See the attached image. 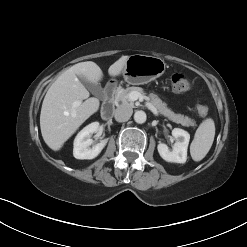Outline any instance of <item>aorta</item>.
I'll return each instance as SVG.
<instances>
[{
  "instance_id": "762f6f07",
  "label": "aorta",
  "mask_w": 247,
  "mask_h": 247,
  "mask_svg": "<svg viewBox=\"0 0 247 247\" xmlns=\"http://www.w3.org/2000/svg\"><path fill=\"white\" fill-rule=\"evenodd\" d=\"M147 116L144 111H136L134 114V120L136 123L142 124L146 121Z\"/></svg>"
}]
</instances>
